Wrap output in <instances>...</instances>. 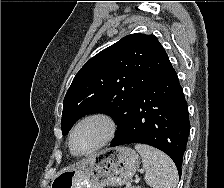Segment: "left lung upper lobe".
<instances>
[{
	"label": "left lung upper lobe",
	"mask_w": 224,
	"mask_h": 188,
	"mask_svg": "<svg viewBox=\"0 0 224 188\" xmlns=\"http://www.w3.org/2000/svg\"><path fill=\"white\" fill-rule=\"evenodd\" d=\"M172 67L154 35L131 34L92 57L76 74L63 102L62 134L81 117L104 113L126 125L141 91Z\"/></svg>",
	"instance_id": "left-lung-upper-lobe-1"
}]
</instances>
